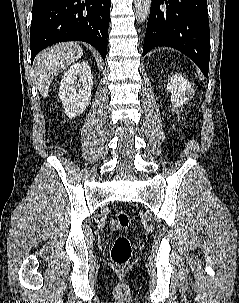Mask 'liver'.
I'll list each match as a JSON object with an SVG mask.
<instances>
[{"label":"liver","mask_w":239,"mask_h":303,"mask_svg":"<svg viewBox=\"0 0 239 303\" xmlns=\"http://www.w3.org/2000/svg\"><path fill=\"white\" fill-rule=\"evenodd\" d=\"M82 55V48L70 42L51 46L37 55L34 61L35 82L44 98L48 95V89L54 77Z\"/></svg>","instance_id":"obj_1"}]
</instances>
